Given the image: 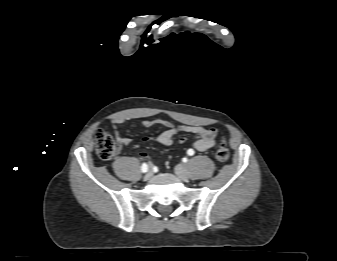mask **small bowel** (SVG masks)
Instances as JSON below:
<instances>
[{
	"label": "small bowel",
	"mask_w": 337,
	"mask_h": 261,
	"mask_svg": "<svg viewBox=\"0 0 337 261\" xmlns=\"http://www.w3.org/2000/svg\"><path fill=\"white\" fill-rule=\"evenodd\" d=\"M123 121L116 119L112 121V125L115 128V135L118 145L128 146L131 144L132 140L127 137H123L116 130V127L121 124ZM155 124H160L166 127V130L160 133L157 136H144L142 141L145 143L154 142L163 146H171L176 139V136L180 133H190L193 134L195 139L192 142V148L197 151H206L213 148L216 143V134L217 131L215 128H208L202 125H179L175 126L168 120H144L142 121V126L145 128H150ZM185 138L181 137L178 139L180 144L185 142ZM140 156L142 158L146 157V153L141 152Z\"/></svg>",
	"instance_id": "1"
}]
</instances>
